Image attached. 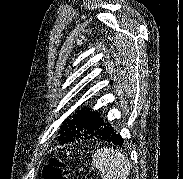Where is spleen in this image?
<instances>
[{
  "label": "spleen",
  "mask_w": 183,
  "mask_h": 179,
  "mask_svg": "<svg viewBox=\"0 0 183 179\" xmlns=\"http://www.w3.org/2000/svg\"><path fill=\"white\" fill-rule=\"evenodd\" d=\"M93 165L101 172L102 179H127L131 165L120 151L100 148L92 156Z\"/></svg>",
  "instance_id": "1"
}]
</instances>
